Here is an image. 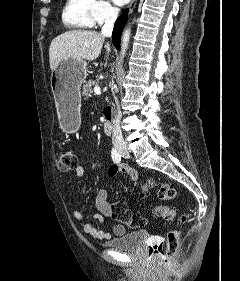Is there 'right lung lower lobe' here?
I'll list each match as a JSON object with an SVG mask.
<instances>
[{"label": "right lung lower lobe", "mask_w": 240, "mask_h": 281, "mask_svg": "<svg viewBox=\"0 0 240 281\" xmlns=\"http://www.w3.org/2000/svg\"><path fill=\"white\" fill-rule=\"evenodd\" d=\"M127 12L128 9H126L123 14L116 20L113 33H112V42L115 45L117 49H120V38L123 26L125 24V21L127 19Z\"/></svg>", "instance_id": "1"}]
</instances>
